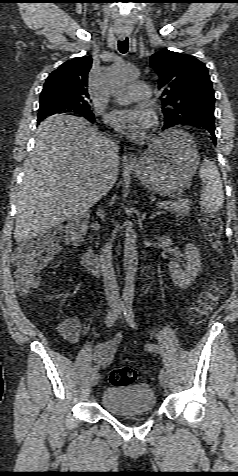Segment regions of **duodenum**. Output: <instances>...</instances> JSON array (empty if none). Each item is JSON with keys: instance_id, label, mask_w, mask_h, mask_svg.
<instances>
[{"instance_id": "1", "label": "duodenum", "mask_w": 238, "mask_h": 476, "mask_svg": "<svg viewBox=\"0 0 238 476\" xmlns=\"http://www.w3.org/2000/svg\"><path fill=\"white\" fill-rule=\"evenodd\" d=\"M87 223L88 217L86 215H79L72 218L66 228L67 243L74 250L84 267L92 273L100 275L103 269L102 260L100 256L87 247L84 242V232Z\"/></svg>"}]
</instances>
